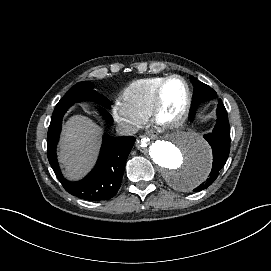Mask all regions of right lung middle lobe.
Returning a JSON list of instances; mask_svg holds the SVG:
<instances>
[{"label": "right lung middle lobe", "instance_id": "dd1d6c3e", "mask_svg": "<svg viewBox=\"0 0 271 271\" xmlns=\"http://www.w3.org/2000/svg\"><path fill=\"white\" fill-rule=\"evenodd\" d=\"M86 100L95 101L106 108H108L110 105V102L105 97L99 95L93 90L92 83L79 82L72 86L70 90L61 98L55 109L63 106H70L73 103Z\"/></svg>", "mask_w": 271, "mask_h": 271}]
</instances>
